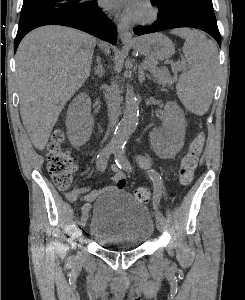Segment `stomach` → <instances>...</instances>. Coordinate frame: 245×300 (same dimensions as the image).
<instances>
[{"label": "stomach", "instance_id": "stomach-1", "mask_svg": "<svg viewBox=\"0 0 245 300\" xmlns=\"http://www.w3.org/2000/svg\"><path fill=\"white\" fill-rule=\"evenodd\" d=\"M135 50L152 60H165L175 52L174 43L162 33L139 37L133 44Z\"/></svg>", "mask_w": 245, "mask_h": 300}]
</instances>
